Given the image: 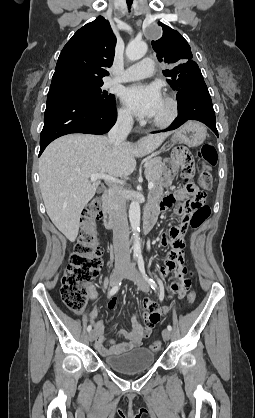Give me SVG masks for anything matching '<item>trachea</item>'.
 Masks as SVG:
<instances>
[{
  "instance_id": "trachea-1",
  "label": "trachea",
  "mask_w": 255,
  "mask_h": 418,
  "mask_svg": "<svg viewBox=\"0 0 255 418\" xmlns=\"http://www.w3.org/2000/svg\"><path fill=\"white\" fill-rule=\"evenodd\" d=\"M126 2H127V5H128V8L130 9L131 5L133 3V0H126Z\"/></svg>"
}]
</instances>
